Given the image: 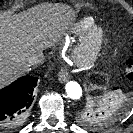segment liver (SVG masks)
I'll return each instance as SVG.
<instances>
[{
	"label": "liver",
	"instance_id": "obj_1",
	"mask_svg": "<svg viewBox=\"0 0 133 133\" xmlns=\"http://www.w3.org/2000/svg\"><path fill=\"white\" fill-rule=\"evenodd\" d=\"M72 20L71 9L49 4L15 16L0 13V88L28 71L32 54L60 41Z\"/></svg>",
	"mask_w": 133,
	"mask_h": 133
}]
</instances>
